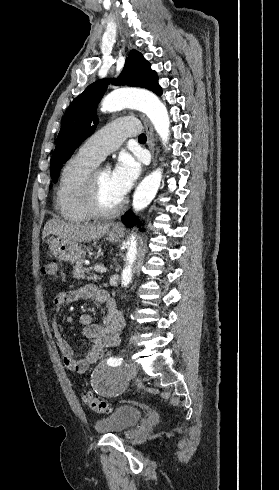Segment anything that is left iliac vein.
Masks as SVG:
<instances>
[{"mask_svg":"<svg viewBox=\"0 0 279 490\" xmlns=\"http://www.w3.org/2000/svg\"><path fill=\"white\" fill-rule=\"evenodd\" d=\"M125 368L128 371V374L130 376H135L137 373V366L135 363V360L133 358H130L128 360V363L125 364Z\"/></svg>","mask_w":279,"mask_h":490,"instance_id":"obj_1","label":"left iliac vein"}]
</instances>
